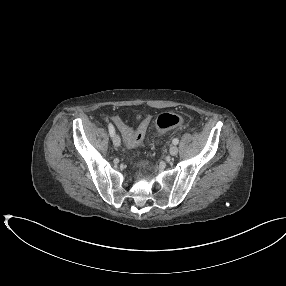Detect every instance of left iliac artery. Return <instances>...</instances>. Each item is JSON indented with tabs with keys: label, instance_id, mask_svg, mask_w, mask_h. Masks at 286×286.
I'll return each mask as SVG.
<instances>
[{
	"label": "left iliac artery",
	"instance_id": "left-iliac-artery-1",
	"mask_svg": "<svg viewBox=\"0 0 286 286\" xmlns=\"http://www.w3.org/2000/svg\"><path fill=\"white\" fill-rule=\"evenodd\" d=\"M178 143H179V139L178 138L173 139V144L177 145Z\"/></svg>",
	"mask_w": 286,
	"mask_h": 286
}]
</instances>
